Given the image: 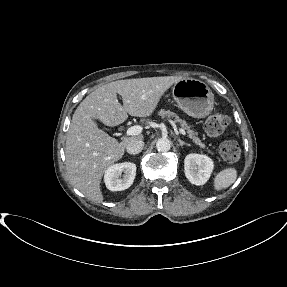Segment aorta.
<instances>
[{"instance_id": "1", "label": "aorta", "mask_w": 287, "mask_h": 287, "mask_svg": "<svg viewBox=\"0 0 287 287\" xmlns=\"http://www.w3.org/2000/svg\"><path fill=\"white\" fill-rule=\"evenodd\" d=\"M156 148L159 152H167L171 148V141L168 138H159L156 142Z\"/></svg>"}]
</instances>
